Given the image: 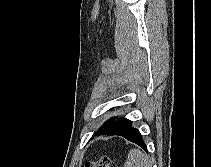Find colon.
I'll return each instance as SVG.
<instances>
[{
    "label": "colon",
    "instance_id": "obj_1",
    "mask_svg": "<svg viewBox=\"0 0 211 167\" xmlns=\"http://www.w3.org/2000/svg\"><path fill=\"white\" fill-rule=\"evenodd\" d=\"M85 167H113V165L110 159L101 157L89 161Z\"/></svg>",
    "mask_w": 211,
    "mask_h": 167
}]
</instances>
